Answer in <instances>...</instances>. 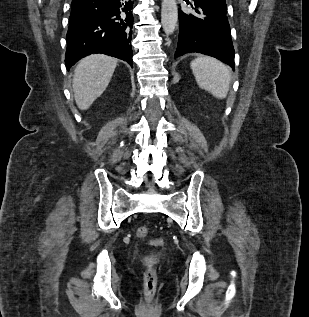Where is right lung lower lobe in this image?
Masks as SVG:
<instances>
[{
    "instance_id": "obj_1",
    "label": "right lung lower lobe",
    "mask_w": 309,
    "mask_h": 317,
    "mask_svg": "<svg viewBox=\"0 0 309 317\" xmlns=\"http://www.w3.org/2000/svg\"><path fill=\"white\" fill-rule=\"evenodd\" d=\"M133 0H72L67 32V70L81 58L104 53L132 67Z\"/></svg>"
}]
</instances>
